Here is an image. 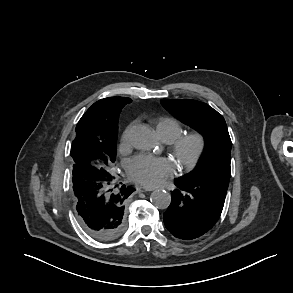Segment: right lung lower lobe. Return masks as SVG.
I'll use <instances>...</instances> for the list:
<instances>
[{
    "mask_svg": "<svg viewBox=\"0 0 293 293\" xmlns=\"http://www.w3.org/2000/svg\"><path fill=\"white\" fill-rule=\"evenodd\" d=\"M91 165H73V191L76 210L83 229L93 238L111 241L125 230V202L134 191L115 184Z\"/></svg>",
    "mask_w": 293,
    "mask_h": 293,
    "instance_id": "obj_1",
    "label": "right lung lower lobe"
}]
</instances>
